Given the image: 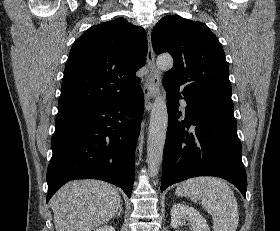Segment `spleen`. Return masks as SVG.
<instances>
[{
	"instance_id": "1",
	"label": "spleen",
	"mask_w": 280,
	"mask_h": 231,
	"mask_svg": "<svg viewBox=\"0 0 280 231\" xmlns=\"http://www.w3.org/2000/svg\"><path fill=\"white\" fill-rule=\"evenodd\" d=\"M176 195L199 201L212 215L214 231H236L239 221L237 199L219 177H191L179 183Z\"/></svg>"
}]
</instances>
